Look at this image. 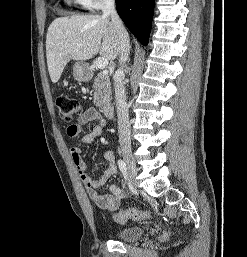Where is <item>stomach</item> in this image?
<instances>
[{
  "label": "stomach",
  "mask_w": 247,
  "mask_h": 257,
  "mask_svg": "<svg viewBox=\"0 0 247 257\" xmlns=\"http://www.w3.org/2000/svg\"><path fill=\"white\" fill-rule=\"evenodd\" d=\"M89 68L83 61H78L73 67V76L77 81H87L89 78Z\"/></svg>",
  "instance_id": "0dacf381"
}]
</instances>
